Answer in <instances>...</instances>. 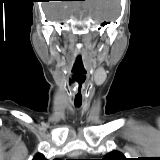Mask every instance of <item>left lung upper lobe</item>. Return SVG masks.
Segmentation results:
<instances>
[{"label":"left lung upper lobe","mask_w":160,"mask_h":160,"mask_svg":"<svg viewBox=\"0 0 160 160\" xmlns=\"http://www.w3.org/2000/svg\"><path fill=\"white\" fill-rule=\"evenodd\" d=\"M102 160H127V158L119 151H112L105 158H102Z\"/></svg>","instance_id":"1"}]
</instances>
